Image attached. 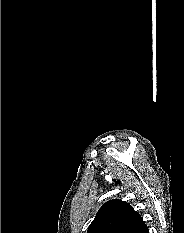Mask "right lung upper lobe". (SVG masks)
Instances as JSON below:
<instances>
[{
	"label": "right lung upper lobe",
	"mask_w": 184,
	"mask_h": 233,
	"mask_svg": "<svg viewBox=\"0 0 184 233\" xmlns=\"http://www.w3.org/2000/svg\"><path fill=\"white\" fill-rule=\"evenodd\" d=\"M144 224L127 202L110 200L99 209L88 233H136Z\"/></svg>",
	"instance_id": "1"
}]
</instances>
